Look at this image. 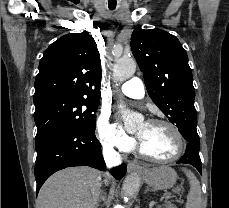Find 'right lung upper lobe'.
<instances>
[{
    "mask_svg": "<svg viewBox=\"0 0 229 208\" xmlns=\"http://www.w3.org/2000/svg\"><path fill=\"white\" fill-rule=\"evenodd\" d=\"M101 61L87 31L69 33L52 43L40 60L33 100L72 95L100 100Z\"/></svg>",
    "mask_w": 229,
    "mask_h": 208,
    "instance_id": "right-lung-upper-lobe-1",
    "label": "right lung upper lobe"
}]
</instances>
